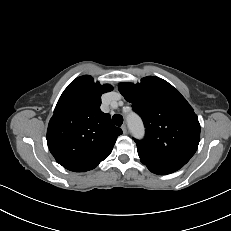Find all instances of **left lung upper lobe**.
Instances as JSON below:
<instances>
[{"label": "left lung upper lobe", "mask_w": 231, "mask_h": 231, "mask_svg": "<svg viewBox=\"0 0 231 231\" xmlns=\"http://www.w3.org/2000/svg\"><path fill=\"white\" fill-rule=\"evenodd\" d=\"M118 88L146 128L144 139H135L141 162L171 172L182 168L200 140V124L190 104L171 84L155 76L137 84L122 82Z\"/></svg>", "instance_id": "obj_1"}]
</instances>
